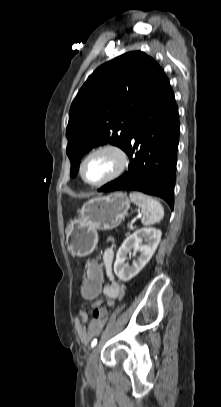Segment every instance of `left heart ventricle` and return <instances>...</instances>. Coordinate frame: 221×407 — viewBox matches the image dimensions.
<instances>
[{"mask_svg": "<svg viewBox=\"0 0 221 407\" xmlns=\"http://www.w3.org/2000/svg\"><path fill=\"white\" fill-rule=\"evenodd\" d=\"M118 166L117 157L111 152L93 155L85 164L84 175L89 182H100L110 176Z\"/></svg>", "mask_w": 221, "mask_h": 407, "instance_id": "obj_1", "label": "left heart ventricle"}]
</instances>
